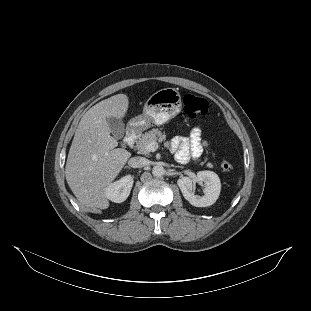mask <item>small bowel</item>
I'll list each match as a JSON object with an SVG mask.
<instances>
[{
  "label": "small bowel",
  "instance_id": "1",
  "mask_svg": "<svg viewBox=\"0 0 311 311\" xmlns=\"http://www.w3.org/2000/svg\"><path fill=\"white\" fill-rule=\"evenodd\" d=\"M206 142L202 139L201 128L195 126L188 136L178 135L171 140L170 146L180 163L197 159L203 152Z\"/></svg>",
  "mask_w": 311,
  "mask_h": 311
}]
</instances>
